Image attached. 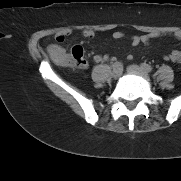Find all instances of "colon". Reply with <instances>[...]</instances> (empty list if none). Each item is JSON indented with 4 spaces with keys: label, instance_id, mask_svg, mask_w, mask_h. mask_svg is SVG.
Listing matches in <instances>:
<instances>
[{
    "label": "colon",
    "instance_id": "5ec220e1",
    "mask_svg": "<svg viewBox=\"0 0 181 181\" xmlns=\"http://www.w3.org/2000/svg\"><path fill=\"white\" fill-rule=\"evenodd\" d=\"M56 40L61 43L64 41V36H57ZM63 64L73 67H84L86 62L84 60L83 48L81 46H74L71 50L70 60L64 61Z\"/></svg>",
    "mask_w": 181,
    "mask_h": 181
}]
</instances>
